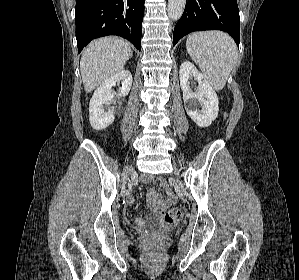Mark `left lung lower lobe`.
I'll return each instance as SVG.
<instances>
[{
    "label": "left lung lower lobe",
    "mask_w": 299,
    "mask_h": 280,
    "mask_svg": "<svg viewBox=\"0 0 299 280\" xmlns=\"http://www.w3.org/2000/svg\"><path fill=\"white\" fill-rule=\"evenodd\" d=\"M216 29L229 33L239 46L237 0H187L184 13L174 29L173 45L190 32Z\"/></svg>",
    "instance_id": "left-lung-lower-lobe-1"
}]
</instances>
